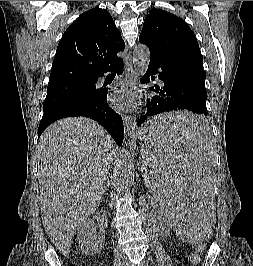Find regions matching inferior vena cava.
<instances>
[{"mask_svg":"<svg viewBox=\"0 0 253 266\" xmlns=\"http://www.w3.org/2000/svg\"><path fill=\"white\" fill-rule=\"evenodd\" d=\"M116 259L118 260V261H123L124 259H125V257L121 254V253H117V256H116Z\"/></svg>","mask_w":253,"mask_h":266,"instance_id":"602c4592","label":"inferior vena cava"}]
</instances>
